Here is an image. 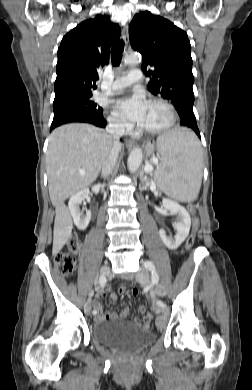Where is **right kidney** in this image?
Listing matches in <instances>:
<instances>
[{"instance_id": "ca27d5eb", "label": "right kidney", "mask_w": 252, "mask_h": 390, "mask_svg": "<svg viewBox=\"0 0 252 390\" xmlns=\"http://www.w3.org/2000/svg\"><path fill=\"white\" fill-rule=\"evenodd\" d=\"M100 185H95L92 187V191L97 194L99 192ZM89 195L88 189H83L78 193L71 196L68 207L73 217L74 224L77 226L79 230H85L91 219V211L86 210V214H84L80 210V205L84 201V199Z\"/></svg>"}]
</instances>
